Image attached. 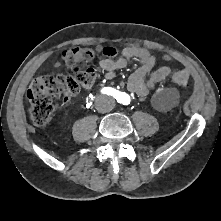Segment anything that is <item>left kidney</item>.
<instances>
[{
    "label": "left kidney",
    "mask_w": 221,
    "mask_h": 221,
    "mask_svg": "<svg viewBox=\"0 0 221 221\" xmlns=\"http://www.w3.org/2000/svg\"><path fill=\"white\" fill-rule=\"evenodd\" d=\"M155 104L161 110L173 108L178 101V92L174 88L158 89L154 96Z\"/></svg>",
    "instance_id": "left-kidney-1"
}]
</instances>
